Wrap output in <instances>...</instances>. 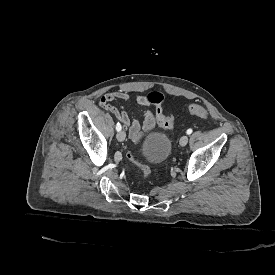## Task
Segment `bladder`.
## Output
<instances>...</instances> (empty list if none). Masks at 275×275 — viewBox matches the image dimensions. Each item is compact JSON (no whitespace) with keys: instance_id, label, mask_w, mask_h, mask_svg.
<instances>
[{"instance_id":"1","label":"bladder","mask_w":275,"mask_h":275,"mask_svg":"<svg viewBox=\"0 0 275 275\" xmlns=\"http://www.w3.org/2000/svg\"><path fill=\"white\" fill-rule=\"evenodd\" d=\"M171 149L172 143L169 136L161 132H153L143 140L139 155L148 166L159 167L167 161Z\"/></svg>"}]
</instances>
